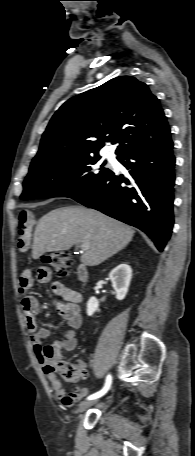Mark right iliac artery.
Listing matches in <instances>:
<instances>
[{
    "label": "right iliac artery",
    "mask_w": 195,
    "mask_h": 456,
    "mask_svg": "<svg viewBox=\"0 0 195 456\" xmlns=\"http://www.w3.org/2000/svg\"><path fill=\"white\" fill-rule=\"evenodd\" d=\"M111 383H112V377H111V375H108L106 377V381H105L104 387L99 392L90 395L87 399L88 400H93V399H97V398L103 396L110 389Z\"/></svg>",
    "instance_id": "right-iliac-artery-1"
}]
</instances>
